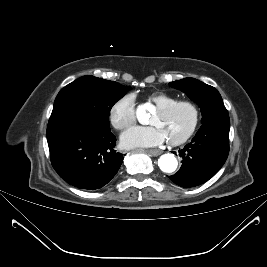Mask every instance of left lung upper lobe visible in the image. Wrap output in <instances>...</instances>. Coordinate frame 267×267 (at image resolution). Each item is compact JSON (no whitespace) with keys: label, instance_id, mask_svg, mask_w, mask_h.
<instances>
[{"label":"left lung upper lobe","instance_id":"5c2ea615","mask_svg":"<svg viewBox=\"0 0 267 267\" xmlns=\"http://www.w3.org/2000/svg\"><path fill=\"white\" fill-rule=\"evenodd\" d=\"M169 85L181 90L198 104L202 112V124L218 120H229L221 95L214 87L194 78H184L171 82Z\"/></svg>","mask_w":267,"mask_h":267}]
</instances>
